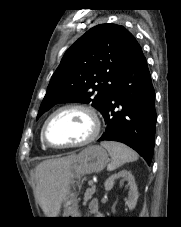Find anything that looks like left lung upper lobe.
Wrapping results in <instances>:
<instances>
[{
    "instance_id": "5c2ea615",
    "label": "left lung upper lobe",
    "mask_w": 181,
    "mask_h": 227,
    "mask_svg": "<svg viewBox=\"0 0 181 227\" xmlns=\"http://www.w3.org/2000/svg\"><path fill=\"white\" fill-rule=\"evenodd\" d=\"M139 47L134 36L122 26L101 24L91 28L65 52L50 80L37 119L61 102H92L103 114Z\"/></svg>"
}]
</instances>
